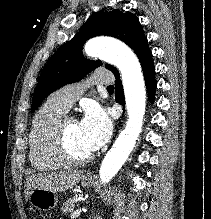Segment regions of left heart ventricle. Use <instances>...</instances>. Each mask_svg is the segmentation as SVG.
<instances>
[{"mask_svg": "<svg viewBox=\"0 0 211 219\" xmlns=\"http://www.w3.org/2000/svg\"><path fill=\"white\" fill-rule=\"evenodd\" d=\"M67 140L71 151L75 155L85 156L91 153L82 139L79 122L75 119H70L68 122Z\"/></svg>", "mask_w": 211, "mask_h": 219, "instance_id": "b2bd125f", "label": "left heart ventricle"}]
</instances>
